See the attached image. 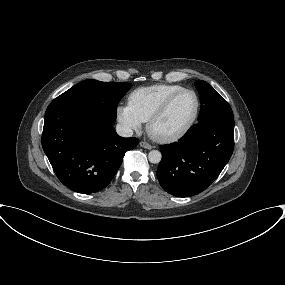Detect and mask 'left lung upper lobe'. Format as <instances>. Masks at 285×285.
Instances as JSON below:
<instances>
[{
    "label": "left lung upper lobe",
    "instance_id": "5c2ea615",
    "mask_svg": "<svg viewBox=\"0 0 285 285\" xmlns=\"http://www.w3.org/2000/svg\"><path fill=\"white\" fill-rule=\"evenodd\" d=\"M195 85L201 102L198 121L217 115L233 116L228 102L211 85L203 80L196 81Z\"/></svg>",
    "mask_w": 285,
    "mask_h": 285
}]
</instances>
